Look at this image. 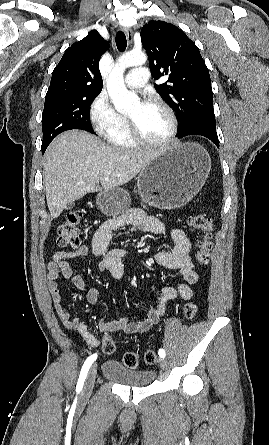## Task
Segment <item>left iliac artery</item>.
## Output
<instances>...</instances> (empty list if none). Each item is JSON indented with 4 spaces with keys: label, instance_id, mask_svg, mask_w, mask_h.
I'll return each instance as SVG.
<instances>
[{
    "label": "left iliac artery",
    "instance_id": "left-iliac-artery-1",
    "mask_svg": "<svg viewBox=\"0 0 269 445\" xmlns=\"http://www.w3.org/2000/svg\"><path fill=\"white\" fill-rule=\"evenodd\" d=\"M158 354H159V356L161 357V358H164L165 357V355H166V353H165V350L164 349H159V352H158Z\"/></svg>",
    "mask_w": 269,
    "mask_h": 445
}]
</instances>
